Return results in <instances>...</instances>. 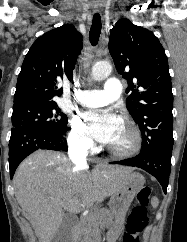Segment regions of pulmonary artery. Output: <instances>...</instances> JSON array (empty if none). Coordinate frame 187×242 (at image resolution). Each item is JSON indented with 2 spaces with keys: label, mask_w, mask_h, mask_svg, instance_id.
Returning a JSON list of instances; mask_svg holds the SVG:
<instances>
[{
  "label": "pulmonary artery",
  "mask_w": 187,
  "mask_h": 242,
  "mask_svg": "<svg viewBox=\"0 0 187 242\" xmlns=\"http://www.w3.org/2000/svg\"><path fill=\"white\" fill-rule=\"evenodd\" d=\"M122 91L121 82L116 78H109L102 90H82L78 93L79 102L88 107H99L116 100Z\"/></svg>",
  "instance_id": "1"
}]
</instances>
